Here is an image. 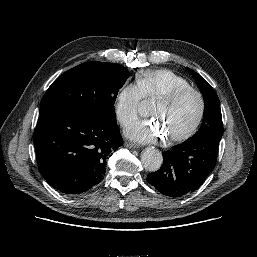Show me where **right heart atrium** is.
<instances>
[{"label": "right heart atrium", "instance_id": "d8ad5b80", "mask_svg": "<svg viewBox=\"0 0 257 257\" xmlns=\"http://www.w3.org/2000/svg\"><path fill=\"white\" fill-rule=\"evenodd\" d=\"M143 95L137 84L127 83L118 91L115 98V113L118 121L127 126L136 120Z\"/></svg>", "mask_w": 257, "mask_h": 257}]
</instances>
